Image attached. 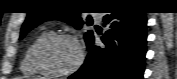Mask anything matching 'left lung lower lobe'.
<instances>
[{
  "mask_svg": "<svg viewBox=\"0 0 177 79\" xmlns=\"http://www.w3.org/2000/svg\"><path fill=\"white\" fill-rule=\"evenodd\" d=\"M103 25L109 30L102 44L90 39L88 56L82 67L69 79H143L146 54L145 13L110 12Z\"/></svg>",
  "mask_w": 177,
  "mask_h": 79,
  "instance_id": "obj_1",
  "label": "left lung lower lobe"
}]
</instances>
